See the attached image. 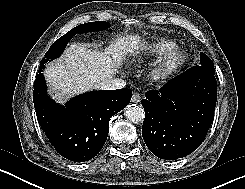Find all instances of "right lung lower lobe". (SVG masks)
<instances>
[{
  "instance_id": "right-lung-lower-lobe-1",
  "label": "right lung lower lobe",
  "mask_w": 245,
  "mask_h": 189,
  "mask_svg": "<svg viewBox=\"0 0 245 189\" xmlns=\"http://www.w3.org/2000/svg\"><path fill=\"white\" fill-rule=\"evenodd\" d=\"M34 82L37 120L56 151L74 162L92 159L103 147L110 118L130 102V89L92 91L66 106L55 103L46 91L42 69Z\"/></svg>"
}]
</instances>
